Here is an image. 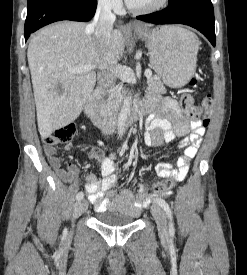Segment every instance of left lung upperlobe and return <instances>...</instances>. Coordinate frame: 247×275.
I'll return each instance as SVG.
<instances>
[{"instance_id": "1", "label": "left lung upper lobe", "mask_w": 247, "mask_h": 275, "mask_svg": "<svg viewBox=\"0 0 247 275\" xmlns=\"http://www.w3.org/2000/svg\"><path fill=\"white\" fill-rule=\"evenodd\" d=\"M178 1H180V0H169V4H173V3H176Z\"/></svg>"}]
</instances>
